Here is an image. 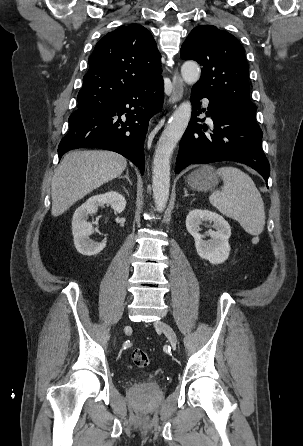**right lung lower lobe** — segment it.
<instances>
[{
    "mask_svg": "<svg viewBox=\"0 0 303 446\" xmlns=\"http://www.w3.org/2000/svg\"><path fill=\"white\" fill-rule=\"evenodd\" d=\"M163 81L80 106L69 117L70 130L58 147H97L115 151L144 172V139L149 119L163 104Z\"/></svg>",
    "mask_w": 303,
    "mask_h": 446,
    "instance_id": "obj_1",
    "label": "right lung lower lobe"
}]
</instances>
